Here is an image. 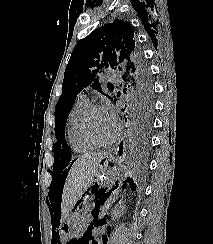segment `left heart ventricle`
I'll return each instance as SVG.
<instances>
[{"mask_svg":"<svg viewBox=\"0 0 213 244\" xmlns=\"http://www.w3.org/2000/svg\"><path fill=\"white\" fill-rule=\"evenodd\" d=\"M88 130L94 139L107 141L115 132V122L108 112L95 110L88 119Z\"/></svg>","mask_w":213,"mask_h":244,"instance_id":"obj_1","label":"left heart ventricle"}]
</instances>
